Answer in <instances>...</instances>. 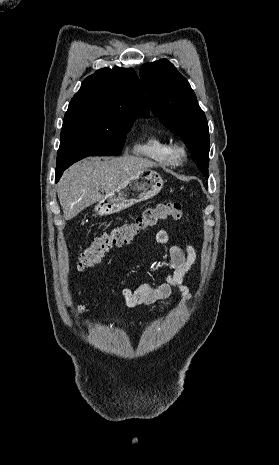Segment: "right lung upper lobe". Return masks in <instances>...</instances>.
I'll return each mask as SVG.
<instances>
[{
	"mask_svg": "<svg viewBox=\"0 0 279 465\" xmlns=\"http://www.w3.org/2000/svg\"><path fill=\"white\" fill-rule=\"evenodd\" d=\"M119 116H149L139 79L133 69L102 68L82 82L69 103L62 128L99 126Z\"/></svg>",
	"mask_w": 279,
	"mask_h": 465,
	"instance_id": "1",
	"label": "right lung upper lobe"
}]
</instances>
